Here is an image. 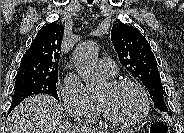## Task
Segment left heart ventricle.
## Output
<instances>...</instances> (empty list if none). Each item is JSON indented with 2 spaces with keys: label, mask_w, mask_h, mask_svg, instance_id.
<instances>
[{
  "label": "left heart ventricle",
  "mask_w": 184,
  "mask_h": 133,
  "mask_svg": "<svg viewBox=\"0 0 184 133\" xmlns=\"http://www.w3.org/2000/svg\"><path fill=\"white\" fill-rule=\"evenodd\" d=\"M107 110L114 116L123 119L138 117L143 110V99L133 87L112 89L106 84L97 94Z\"/></svg>",
  "instance_id": "b2bd125f"
}]
</instances>
